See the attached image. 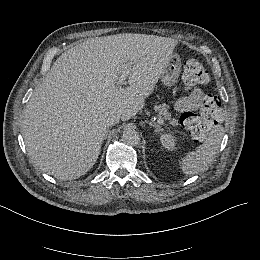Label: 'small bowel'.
Returning <instances> with one entry per match:
<instances>
[{"instance_id":"c3829d8e","label":"small bowel","mask_w":260,"mask_h":260,"mask_svg":"<svg viewBox=\"0 0 260 260\" xmlns=\"http://www.w3.org/2000/svg\"><path fill=\"white\" fill-rule=\"evenodd\" d=\"M207 95L198 87L190 88L184 96L175 102L177 112L195 111L198 109L206 110Z\"/></svg>"}]
</instances>
